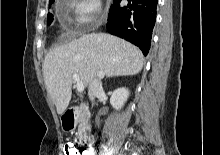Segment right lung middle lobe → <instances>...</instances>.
I'll return each instance as SVG.
<instances>
[{
	"label": "right lung middle lobe",
	"mask_w": 220,
	"mask_h": 155,
	"mask_svg": "<svg viewBox=\"0 0 220 155\" xmlns=\"http://www.w3.org/2000/svg\"><path fill=\"white\" fill-rule=\"evenodd\" d=\"M54 1L50 2V4H52ZM53 20V15L52 14H48L47 16V24L49 25Z\"/></svg>",
	"instance_id": "obj_1"
}]
</instances>
